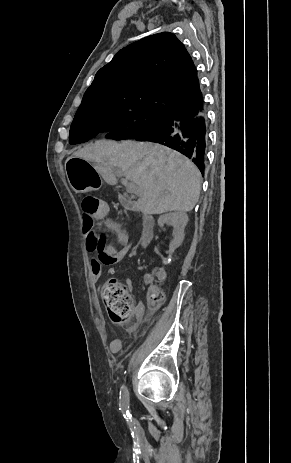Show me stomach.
Masks as SVG:
<instances>
[{"instance_id": "obj_1", "label": "stomach", "mask_w": 291, "mask_h": 463, "mask_svg": "<svg viewBox=\"0 0 291 463\" xmlns=\"http://www.w3.org/2000/svg\"><path fill=\"white\" fill-rule=\"evenodd\" d=\"M66 171L75 192L85 193L100 189L101 182L89 157H66Z\"/></svg>"}]
</instances>
